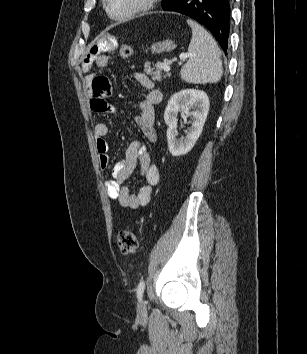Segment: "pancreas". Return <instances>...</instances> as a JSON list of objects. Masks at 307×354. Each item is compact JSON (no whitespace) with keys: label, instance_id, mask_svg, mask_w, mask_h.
Segmentation results:
<instances>
[{"label":"pancreas","instance_id":"1","mask_svg":"<svg viewBox=\"0 0 307 354\" xmlns=\"http://www.w3.org/2000/svg\"><path fill=\"white\" fill-rule=\"evenodd\" d=\"M144 71L147 75L152 77L153 81L160 82L162 77L166 78L168 76V74H164L162 63L160 62L156 63L153 68L149 64H146Z\"/></svg>","mask_w":307,"mask_h":354}]
</instances>
